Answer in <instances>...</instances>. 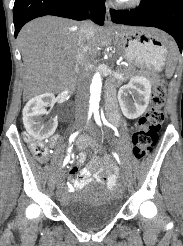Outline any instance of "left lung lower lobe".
Masks as SVG:
<instances>
[{"mask_svg": "<svg viewBox=\"0 0 183 246\" xmlns=\"http://www.w3.org/2000/svg\"><path fill=\"white\" fill-rule=\"evenodd\" d=\"M114 23L156 27L169 33L183 49V0H141L131 11L111 10Z\"/></svg>", "mask_w": 183, "mask_h": 246, "instance_id": "0a47b994", "label": "left lung lower lobe"}]
</instances>
